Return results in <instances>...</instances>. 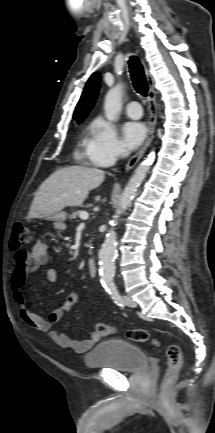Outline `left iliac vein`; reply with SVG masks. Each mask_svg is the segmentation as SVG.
Masks as SVG:
<instances>
[{
  "instance_id": "left-iliac-vein-1",
  "label": "left iliac vein",
  "mask_w": 215,
  "mask_h": 433,
  "mask_svg": "<svg viewBox=\"0 0 215 433\" xmlns=\"http://www.w3.org/2000/svg\"><path fill=\"white\" fill-rule=\"evenodd\" d=\"M123 302L125 305L132 308L137 306L136 302L128 295L123 296Z\"/></svg>"
}]
</instances>
